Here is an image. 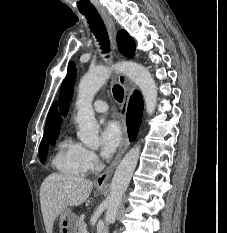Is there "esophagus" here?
I'll return each mask as SVG.
<instances>
[{"instance_id":"esophagus-1","label":"esophagus","mask_w":227,"mask_h":233,"mask_svg":"<svg viewBox=\"0 0 227 233\" xmlns=\"http://www.w3.org/2000/svg\"><path fill=\"white\" fill-rule=\"evenodd\" d=\"M98 12H99L102 20L104 21L106 28L109 32L113 49H114L117 57H119V52H118L117 42H116V33L117 32H116L114 22L105 10L99 9ZM118 80L124 88V101H123V104H122L121 109H120V115H121V120H122V124H123L122 141H121V144L118 148L117 155L114 158L113 162L110 164V166L103 173H101L97 177V179H96V186L97 187H103V186H106L108 184L116 166L120 162L122 156L124 155V153L126 152L127 148L129 147V144H130L128 134H127V128H126V115H127V107H128L129 97L135 91L136 86L123 73L119 74Z\"/></svg>"}]
</instances>
